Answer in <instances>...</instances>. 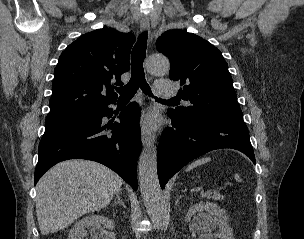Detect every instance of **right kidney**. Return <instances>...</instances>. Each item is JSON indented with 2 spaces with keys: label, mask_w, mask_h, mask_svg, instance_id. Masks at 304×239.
Masks as SVG:
<instances>
[{
  "label": "right kidney",
  "mask_w": 304,
  "mask_h": 239,
  "mask_svg": "<svg viewBox=\"0 0 304 239\" xmlns=\"http://www.w3.org/2000/svg\"><path fill=\"white\" fill-rule=\"evenodd\" d=\"M92 227L90 237L92 239H106L107 230H113L114 221L103 215H90L82 218L72 227L67 239H83L85 228Z\"/></svg>",
  "instance_id": "obj_1"
}]
</instances>
